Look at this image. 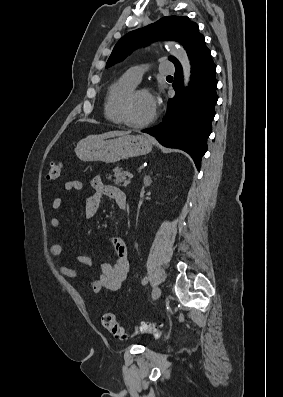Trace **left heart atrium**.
<instances>
[{
  "label": "left heart atrium",
  "mask_w": 283,
  "mask_h": 397,
  "mask_svg": "<svg viewBox=\"0 0 283 397\" xmlns=\"http://www.w3.org/2000/svg\"><path fill=\"white\" fill-rule=\"evenodd\" d=\"M153 109H154V111L156 109V101L154 99H153Z\"/></svg>",
  "instance_id": "39dd6f15"
}]
</instances>
